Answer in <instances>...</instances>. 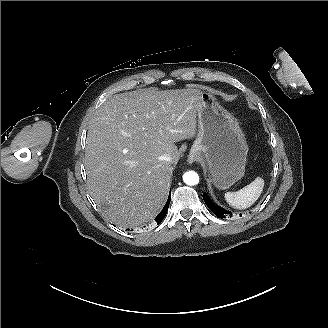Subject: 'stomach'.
Listing matches in <instances>:
<instances>
[{"label": "stomach", "instance_id": "stomach-1", "mask_svg": "<svg viewBox=\"0 0 328 328\" xmlns=\"http://www.w3.org/2000/svg\"><path fill=\"white\" fill-rule=\"evenodd\" d=\"M199 91L198 132L190 157L200 154L209 178L224 190L243 177L248 145L239 122L219 104L214 91L206 87Z\"/></svg>", "mask_w": 328, "mask_h": 328}]
</instances>
